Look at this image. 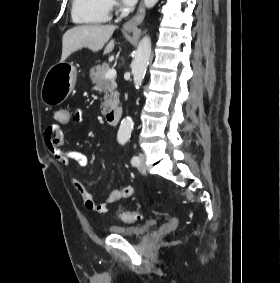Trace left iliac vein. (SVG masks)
Masks as SVG:
<instances>
[{
  "label": "left iliac vein",
  "mask_w": 280,
  "mask_h": 283,
  "mask_svg": "<svg viewBox=\"0 0 280 283\" xmlns=\"http://www.w3.org/2000/svg\"><path fill=\"white\" fill-rule=\"evenodd\" d=\"M139 163L137 164V169L141 174L147 173V166L145 164V155L143 153H140L138 155Z\"/></svg>",
  "instance_id": "obj_1"
}]
</instances>
